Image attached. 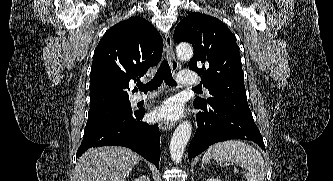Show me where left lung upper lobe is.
I'll return each mask as SVG.
<instances>
[{
    "label": "left lung upper lobe",
    "mask_w": 333,
    "mask_h": 181,
    "mask_svg": "<svg viewBox=\"0 0 333 181\" xmlns=\"http://www.w3.org/2000/svg\"><path fill=\"white\" fill-rule=\"evenodd\" d=\"M177 43L189 42L194 56L189 69L196 71L210 92L207 99L196 98L193 104L216 105L252 117L246 97L239 47L235 36L219 19L191 13L174 31Z\"/></svg>",
    "instance_id": "1"
}]
</instances>
